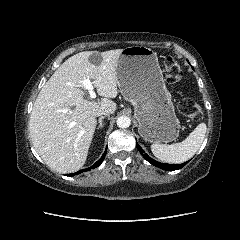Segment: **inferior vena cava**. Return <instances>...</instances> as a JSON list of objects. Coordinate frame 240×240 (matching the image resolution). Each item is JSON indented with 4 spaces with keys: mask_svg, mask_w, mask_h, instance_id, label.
Masks as SVG:
<instances>
[{
    "mask_svg": "<svg viewBox=\"0 0 240 240\" xmlns=\"http://www.w3.org/2000/svg\"><path fill=\"white\" fill-rule=\"evenodd\" d=\"M103 115H110V113L106 110H100L99 112L96 113V116H103Z\"/></svg>",
    "mask_w": 240,
    "mask_h": 240,
    "instance_id": "1",
    "label": "inferior vena cava"
}]
</instances>
